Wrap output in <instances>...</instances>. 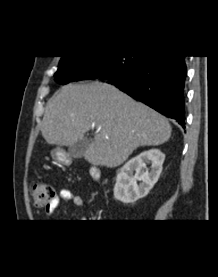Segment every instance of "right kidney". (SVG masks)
<instances>
[{"label": "right kidney", "instance_id": "ca27d5eb", "mask_svg": "<svg viewBox=\"0 0 218 277\" xmlns=\"http://www.w3.org/2000/svg\"><path fill=\"white\" fill-rule=\"evenodd\" d=\"M165 155L158 149L142 152L122 166L116 177L114 198L125 204L145 197L153 188L162 171ZM151 163V169L146 167ZM140 181V184H137Z\"/></svg>", "mask_w": 218, "mask_h": 277}]
</instances>
